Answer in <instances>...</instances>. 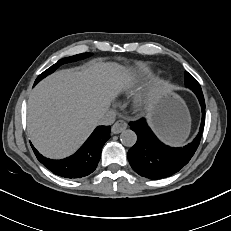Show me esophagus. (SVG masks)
I'll use <instances>...</instances> for the list:
<instances>
[{
	"label": "esophagus",
	"mask_w": 231,
	"mask_h": 231,
	"mask_svg": "<svg viewBox=\"0 0 231 231\" xmlns=\"http://www.w3.org/2000/svg\"><path fill=\"white\" fill-rule=\"evenodd\" d=\"M127 128V123L124 120L116 121L111 127L112 134H119Z\"/></svg>",
	"instance_id": "obj_1"
}]
</instances>
